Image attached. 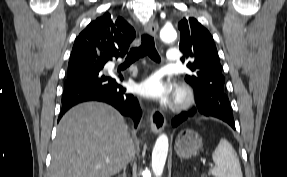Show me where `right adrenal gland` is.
<instances>
[{
	"mask_svg": "<svg viewBox=\"0 0 287 177\" xmlns=\"http://www.w3.org/2000/svg\"><path fill=\"white\" fill-rule=\"evenodd\" d=\"M117 177H126V166L123 168V174L118 175Z\"/></svg>",
	"mask_w": 287,
	"mask_h": 177,
	"instance_id": "1",
	"label": "right adrenal gland"
}]
</instances>
